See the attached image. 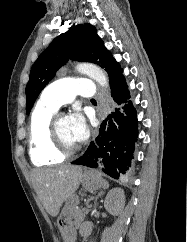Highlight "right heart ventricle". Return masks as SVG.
I'll use <instances>...</instances> for the list:
<instances>
[{
	"instance_id": "obj_1",
	"label": "right heart ventricle",
	"mask_w": 187,
	"mask_h": 242,
	"mask_svg": "<svg viewBox=\"0 0 187 242\" xmlns=\"http://www.w3.org/2000/svg\"><path fill=\"white\" fill-rule=\"evenodd\" d=\"M56 109L38 102L33 109L29 127V154L37 166H49L61 163L64 157L56 154L48 140V126Z\"/></svg>"
}]
</instances>
